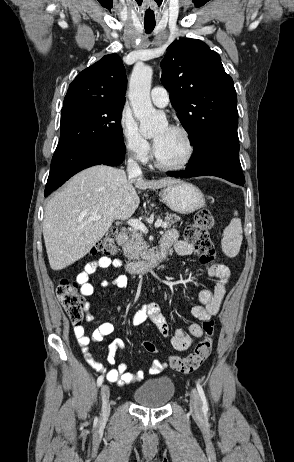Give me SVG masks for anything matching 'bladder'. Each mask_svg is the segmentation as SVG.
<instances>
[{"label":"bladder","instance_id":"31cf9c89","mask_svg":"<svg viewBox=\"0 0 294 462\" xmlns=\"http://www.w3.org/2000/svg\"><path fill=\"white\" fill-rule=\"evenodd\" d=\"M175 395V383L168 376L147 380L133 392L137 405L147 408H159L166 405Z\"/></svg>","mask_w":294,"mask_h":462}]
</instances>
